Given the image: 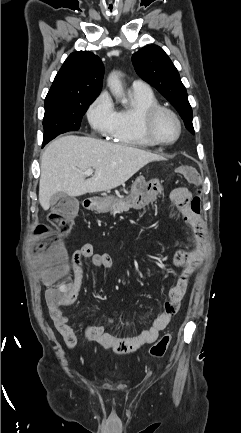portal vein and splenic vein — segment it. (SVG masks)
<instances>
[{
	"mask_svg": "<svg viewBox=\"0 0 241 433\" xmlns=\"http://www.w3.org/2000/svg\"><path fill=\"white\" fill-rule=\"evenodd\" d=\"M84 174L85 175H87V176H89V175H92L93 174V169H87L85 172H84Z\"/></svg>",
	"mask_w": 241,
	"mask_h": 433,
	"instance_id": "obj_1",
	"label": "portal vein and splenic vein"
}]
</instances>
